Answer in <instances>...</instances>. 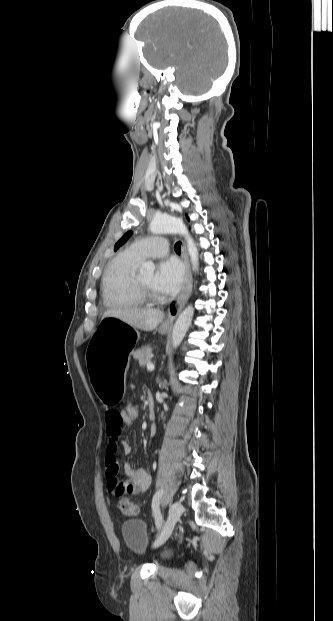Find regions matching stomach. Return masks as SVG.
I'll return each mask as SVG.
<instances>
[{
  "mask_svg": "<svg viewBox=\"0 0 333 621\" xmlns=\"http://www.w3.org/2000/svg\"><path fill=\"white\" fill-rule=\"evenodd\" d=\"M140 332L123 318H104L88 342L86 372L98 398L108 412L118 410L127 388L128 354Z\"/></svg>",
  "mask_w": 333,
  "mask_h": 621,
  "instance_id": "obj_1",
  "label": "stomach"
}]
</instances>
